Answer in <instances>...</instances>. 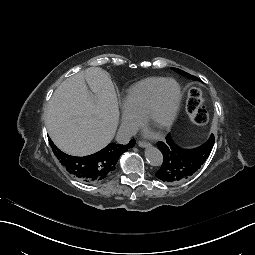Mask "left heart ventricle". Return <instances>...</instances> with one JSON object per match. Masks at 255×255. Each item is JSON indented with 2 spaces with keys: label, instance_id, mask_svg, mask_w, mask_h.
Listing matches in <instances>:
<instances>
[{
  "label": "left heart ventricle",
  "instance_id": "left-heart-ventricle-1",
  "mask_svg": "<svg viewBox=\"0 0 255 255\" xmlns=\"http://www.w3.org/2000/svg\"><path fill=\"white\" fill-rule=\"evenodd\" d=\"M176 99V87L175 85L169 83L166 84L159 96L158 106L154 116L149 119L145 128L148 132L157 134L160 131L162 122L167 118L172 110Z\"/></svg>",
  "mask_w": 255,
  "mask_h": 255
}]
</instances>
